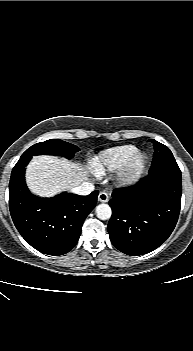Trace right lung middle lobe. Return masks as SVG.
I'll return each mask as SVG.
<instances>
[{
  "mask_svg": "<svg viewBox=\"0 0 193 351\" xmlns=\"http://www.w3.org/2000/svg\"><path fill=\"white\" fill-rule=\"evenodd\" d=\"M79 148L73 144L60 139H50L44 142L34 144L28 148L21 157L36 155H55L71 159Z\"/></svg>",
  "mask_w": 193,
  "mask_h": 351,
  "instance_id": "right-lung-middle-lobe-1",
  "label": "right lung middle lobe"
}]
</instances>
